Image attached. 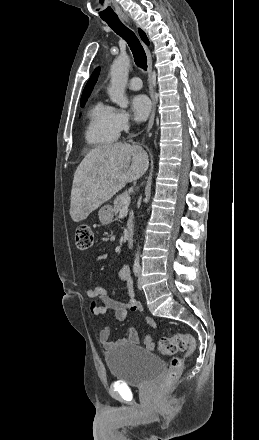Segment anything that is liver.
I'll list each match as a JSON object with an SVG mask.
<instances>
[{
	"mask_svg": "<svg viewBox=\"0 0 259 440\" xmlns=\"http://www.w3.org/2000/svg\"><path fill=\"white\" fill-rule=\"evenodd\" d=\"M148 167V155L139 145L117 142L92 149L74 174L70 205L72 220L86 219L126 183L141 178Z\"/></svg>",
	"mask_w": 259,
	"mask_h": 440,
	"instance_id": "1",
	"label": "liver"
}]
</instances>
